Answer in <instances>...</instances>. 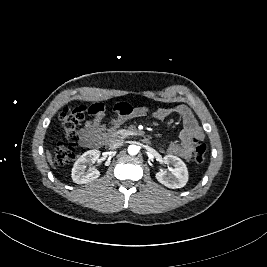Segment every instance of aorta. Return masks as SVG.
Wrapping results in <instances>:
<instances>
[{"instance_id": "762f6f07", "label": "aorta", "mask_w": 267, "mask_h": 267, "mask_svg": "<svg viewBox=\"0 0 267 267\" xmlns=\"http://www.w3.org/2000/svg\"><path fill=\"white\" fill-rule=\"evenodd\" d=\"M139 152V147L137 145H129L128 146V153L130 155H137Z\"/></svg>"}]
</instances>
